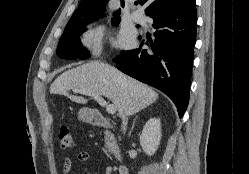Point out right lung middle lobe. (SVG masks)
Here are the masks:
<instances>
[{
	"label": "right lung middle lobe",
	"instance_id": "1",
	"mask_svg": "<svg viewBox=\"0 0 249 174\" xmlns=\"http://www.w3.org/2000/svg\"><path fill=\"white\" fill-rule=\"evenodd\" d=\"M96 20L67 24L57 47V56L62 59L89 58L90 54L82 47L79 36L86 30L89 23ZM119 22L120 17L112 18V24L117 25Z\"/></svg>",
	"mask_w": 249,
	"mask_h": 174
}]
</instances>
